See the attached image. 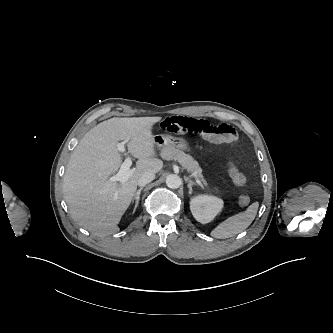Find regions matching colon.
<instances>
[{
	"mask_svg": "<svg viewBox=\"0 0 333 333\" xmlns=\"http://www.w3.org/2000/svg\"><path fill=\"white\" fill-rule=\"evenodd\" d=\"M228 173L232 181L238 186H245L248 183L247 177L239 171L234 165L228 166ZM250 202V198L247 195H242L239 198V204L241 206H246Z\"/></svg>",
	"mask_w": 333,
	"mask_h": 333,
	"instance_id": "5ec220e1",
	"label": "colon"
}]
</instances>
